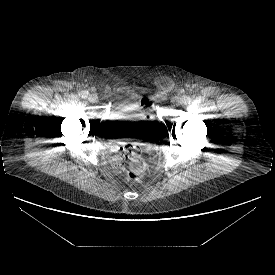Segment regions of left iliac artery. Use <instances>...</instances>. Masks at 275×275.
I'll return each mask as SVG.
<instances>
[{"mask_svg": "<svg viewBox=\"0 0 275 275\" xmlns=\"http://www.w3.org/2000/svg\"><path fill=\"white\" fill-rule=\"evenodd\" d=\"M182 101H183V103L188 104L191 102V98L189 96L184 95L182 97Z\"/></svg>", "mask_w": 275, "mask_h": 275, "instance_id": "44dca946", "label": "left iliac artery"}]
</instances>
